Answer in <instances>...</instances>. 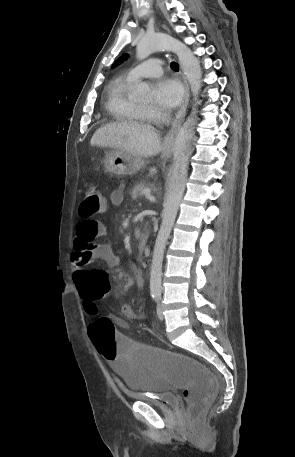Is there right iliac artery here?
<instances>
[{
	"mask_svg": "<svg viewBox=\"0 0 295 457\" xmlns=\"http://www.w3.org/2000/svg\"><path fill=\"white\" fill-rule=\"evenodd\" d=\"M152 297H153V298H156V297H157V295H152Z\"/></svg>",
	"mask_w": 295,
	"mask_h": 457,
	"instance_id": "82829eb1",
	"label": "right iliac artery"
}]
</instances>
